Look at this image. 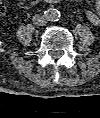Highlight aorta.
Returning <instances> with one entry per match:
<instances>
[{"instance_id": "762f6f07", "label": "aorta", "mask_w": 100, "mask_h": 118, "mask_svg": "<svg viewBox=\"0 0 100 118\" xmlns=\"http://www.w3.org/2000/svg\"><path fill=\"white\" fill-rule=\"evenodd\" d=\"M45 15L48 21L55 22L58 21L61 17L60 11L55 8H49L46 10Z\"/></svg>"}]
</instances>
